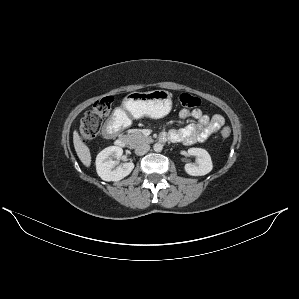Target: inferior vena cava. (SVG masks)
I'll use <instances>...</instances> for the list:
<instances>
[{"label": "inferior vena cava", "instance_id": "602c4592", "mask_svg": "<svg viewBox=\"0 0 299 299\" xmlns=\"http://www.w3.org/2000/svg\"><path fill=\"white\" fill-rule=\"evenodd\" d=\"M149 149H150V145L145 144V143L139 144L135 148V154L139 155V156L144 155L149 151Z\"/></svg>", "mask_w": 299, "mask_h": 299}]
</instances>
